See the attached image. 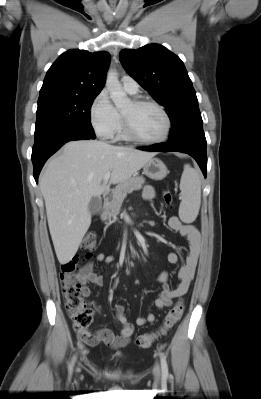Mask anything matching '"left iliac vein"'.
I'll list each match as a JSON object with an SVG mask.
<instances>
[{
	"label": "left iliac vein",
	"mask_w": 261,
	"mask_h": 399,
	"mask_svg": "<svg viewBox=\"0 0 261 399\" xmlns=\"http://www.w3.org/2000/svg\"><path fill=\"white\" fill-rule=\"evenodd\" d=\"M153 374H154V376H155V378L157 380L160 379V377H161V369H160V366L158 364L155 365V367L153 369Z\"/></svg>",
	"instance_id": "1"
}]
</instances>
